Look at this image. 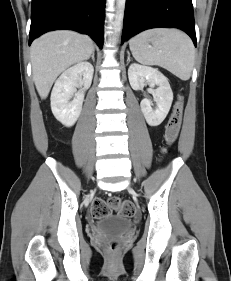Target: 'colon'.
I'll return each mask as SVG.
<instances>
[{
	"instance_id": "5ec220e1",
	"label": "colon",
	"mask_w": 231,
	"mask_h": 281,
	"mask_svg": "<svg viewBox=\"0 0 231 281\" xmlns=\"http://www.w3.org/2000/svg\"><path fill=\"white\" fill-rule=\"evenodd\" d=\"M184 108V99L180 95L174 105L173 112L165 128V141L168 146L172 145L179 134ZM166 148L164 149V153ZM111 211H118L126 217H131L135 214V206L132 202L122 200L119 197H111L108 200L95 199L91 203L90 212L93 217L100 218L108 215ZM111 249L116 248V243L110 244Z\"/></svg>"
}]
</instances>
